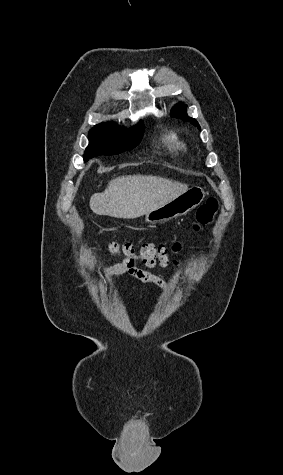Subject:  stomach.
Here are the masks:
<instances>
[{"mask_svg": "<svg viewBox=\"0 0 283 475\" xmlns=\"http://www.w3.org/2000/svg\"><path fill=\"white\" fill-rule=\"evenodd\" d=\"M204 198L205 192L202 188H199V186L189 188L185 194H181V196L167 202L164 206H160L157 210L145 214V220L150 224H163V222H168V220L178 218V216H184L190 210H194L203 202Z\"/></svg>", "mask_w": 283, "mask_h": 475, "instance_id": "0dacf381", "label": "stomach"}]
</instances>
